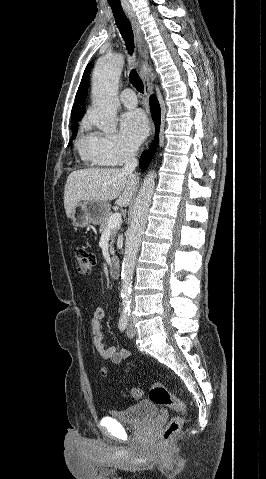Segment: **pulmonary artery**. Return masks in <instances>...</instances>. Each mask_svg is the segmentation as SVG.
Here are the masks:
<instances>
[{
  "label": "pulmonary artery",
  "mask_w": 266,
  "mask_h": 479,
  "mask_svg": "<svg viewBox=\"0 0 266 479\" xmlns=\"http://www.w3.org/2000/svg\"><path fill=\"white\" fill-rule=\"evenodd\" d=\"M122 104L128 108H134L137 105V97L134 90L127 88L120 95Z\"/></svg>",
  "instance_id": "pulmonary-artery-1"
}]
</instances>
